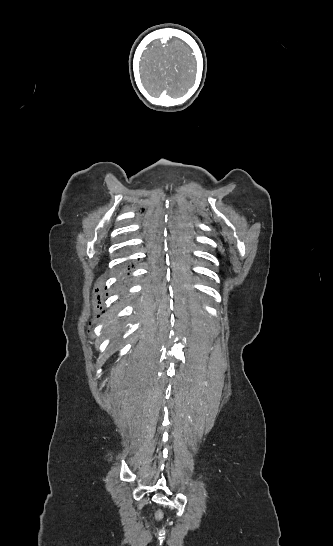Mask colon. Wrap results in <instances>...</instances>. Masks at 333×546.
Instances as JSON below:
<instances>
[{
    "mask_svg": "<svg viewBox=\"0 0 333 546\" xmlns=\"http://www.w3.org/2000/svg\"><path fill=\"white\" fill-rule=\"evenodd\" d=\"M155 518H156L157 521H161V520H162V518H163V513H162L161 510H157V511L155 512Z\"/></svg>",
    "mask_w": 333,
    "mask_h": 546,
    "instance_id": "5ec220e1",
    "label": "colon"
}]
</instances>
